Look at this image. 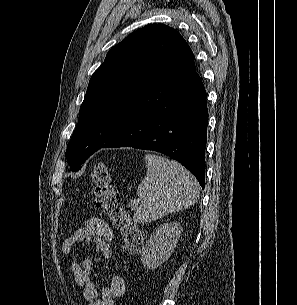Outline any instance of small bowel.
<instances>
[{
	"label": "small bowel",
	"instance_id": "1",
	"mask_svg": "<svg viewBox=\"0 0 297 305\" xmlns=\"http://www.w3.org/2000/svg\"><path fill=\"white\" fill-rule=\"evenodd\" d=\"M112 230L102 215L89 218L84 227L77 229L62 244V254L69 255L76 244L92 243L99 257H88L79 261L72 257L71 269L82 297L87 305H114L126 293V282L119 276H113L107 285H100L95 277L96 269L112 258Z\"/></svg>",
	"mask_w": 297,
	"mask_h": 305
}]
</instances>
